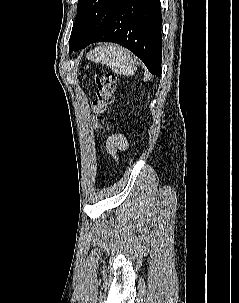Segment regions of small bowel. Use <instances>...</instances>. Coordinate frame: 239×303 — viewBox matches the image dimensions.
I'll return each mask as SVG.
<instances>
[{
  "instance_id": "1",
  "label": "small bowel",
  "mask_w": 239,
  "mask_h": 303,
  "mask_svg": "<svg viewBox=\"0 0 239 303\" xmlns=\"http://www.w3.org/2000/svg\"><path fill=\"white\" fill-rule=\"evenodd\" d=\"M126 148V139L120 134H112L108 137L106 141V151L114 159L117 158V155L120 151H123Z\"/></svg>"
}]
</instances>
